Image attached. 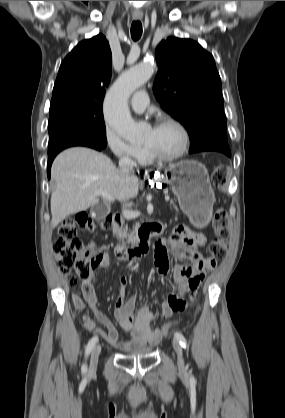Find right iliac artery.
<instances>
[{
    "mask_svg": "<svg viewBox=\"0 0 285 418\" xmlns=\"http://www.w3.org/2000/svg\"><path fill=\"white\" fill-rule=\"evenodd\" d=\"M98 342V337L94 336L90 339V341L88 342L86 349H85V358L88 357V355L90 354L91 350L93 349V347L95 346V344ZM83 372H86L87 370V365L86 363H84L81 367Z\"/></svg>",
    "mask_w": 285,
    "mask_h": 418,
    "instance_id": "right-iliac-artery-1",
    "label": "right iliac artery"
}]
</instances>
